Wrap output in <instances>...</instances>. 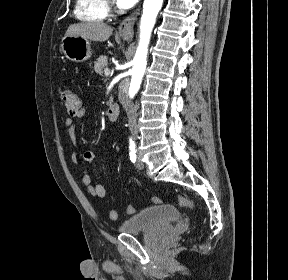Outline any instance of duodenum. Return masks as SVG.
<instances>
[{
    "instance_id": "1",
    "label": "duodenum",
    "mask_w": 288,
    "mask_h": 280,
    "mask_svg": "<svg viewBox=\"0 0 288 280\" xmlns=\"http://www.w3.org/2000/svg\"><path fill=\"white\" fill-rule=\"evenodd\" d=\"M120 108L117 104H112L107 109V118L110 122H116L119 119Z\"/></svg>"
}]
</instances>
